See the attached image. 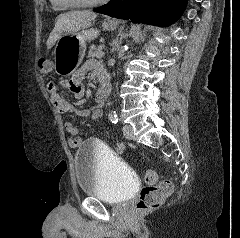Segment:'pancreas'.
Listing matches in <instances>:
<instances>
[{
    "instance_id": "cf45deb5",
    "label": "pancreas",
    "mask_w": 240,
    "mask_h": 238,
    "mask_svg": "<svg viewBox=\"0 0 240 238\" xmlns=\"http://www.w3.org/2000/svg\"><path fill=\"white\" fill-rule=\"evenodd\" d=\"M99 52L100 51L95 47V45H91L88 56L92 58L94 57L98 58Z\"/></svg>"
}]
</instances>
